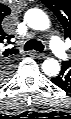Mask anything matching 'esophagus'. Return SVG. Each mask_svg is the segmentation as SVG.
<instances>
[{
    "label": "esophagus",
    "mask_w": 71,
    "mask_h": 119,
    "mask_svg": "<svg viewBox=\"0 0 71 119\" xmlns=\"http://www.w3.org/2000/svg\"><path fill=\"white\" fill-rule=\"evenodd\" d=\"M32 54H33L35 57L39 58V59L45 58V55H44V54L38 53V52H36V51H33Z\"/></svg>",
    "instance_id": "1"
}]
</instances>
